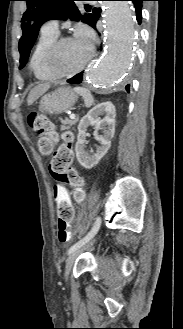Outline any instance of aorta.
I'll list each match as a JSON object with an SVG mask.
<instances>
[{"mask_svg":"<svg viewBox=\"0 0 183 329\" xmlns=\"http://www.w3.org/2000/svg\"><path fill=\"white\" fill-rule=\"evenodd\" d=\"M106 50L92 66L88 80L97 88L115 87L126 73L135 37L134 12L127 1L106 3L104 15Z\"/></svg>","mask_w":183,"mask_h":329,"instance_id":"aorta-1","label":"aorta"}]
</instances>
